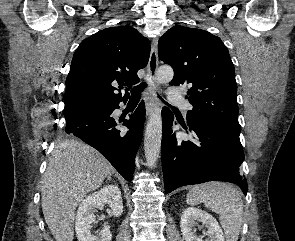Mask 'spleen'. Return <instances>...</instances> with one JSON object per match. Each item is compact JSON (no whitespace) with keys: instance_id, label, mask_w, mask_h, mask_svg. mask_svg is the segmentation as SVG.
Here are the masks:
<instances>
[{"instance_id":"1","label":"spleen","mask_w":295,"mask_h":241,"mask_svg":"<svg viewBox=\"0 0 295 241\" xmlns=\"http://www.w3.org/2000/svg\"><path fill=\"white\" fill-rule=\"evenodd\" d=\"M187 204L204 203L212 212L219 214L226 241H237L243 221V201L239 191L230 184L208 182L192 187L186 198Z\"/></svg>"}]
</instances>
